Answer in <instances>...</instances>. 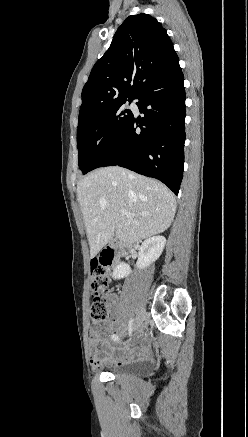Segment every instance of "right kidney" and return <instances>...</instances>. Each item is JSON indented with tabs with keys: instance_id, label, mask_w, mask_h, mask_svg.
Listing matches in <instances>:
<instances>
[{
	"instance_id": "obj_1",
	"label": "right kidney",
	"mask_w": 248,
	"mask_h": 437,
	"mask_svg": "<svg viewBox=\"0 0 248 437\" xmlns=\"http://www.w3.org/2000/svg\"><path fill=\"white\" fill-rule=\"evenodd\" d=\"M166 244V239L163 236H153L146 239L138 252L137 268L144 269L155 262L163 252ZM131 268L125 263L119 264L113 271L114 279L127 277L131 273Z\"/></svg>"
}]
</instances>
